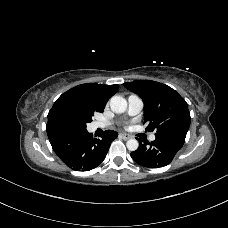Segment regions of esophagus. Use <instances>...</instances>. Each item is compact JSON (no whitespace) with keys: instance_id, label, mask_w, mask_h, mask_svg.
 Listing matches in <instances>:
<instances>
[{"instance_id":"1","label":"esophagus","mask_w":228,"mask_h":228,"mask_svg":"<svg viewBox=\"0 0 228 228\" xmlns=\"http://www.w3.org/2000/svg\"><path fill=\"white\" fill-rule=\"evenodd\" d=\"M120 137H121L122 139H124V140H128V139L131 138V135L126 134V133H121V134H120Z\"/></svg>"}]
</instances>
